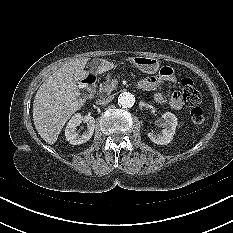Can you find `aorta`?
Returning a JSON list of instances; mask_svg holds the SVG:
<instances>
[{
  "instance_id": "aorta-1",
  "label": "aorta",
  "mask_w": 233,
  "mask_h": 233,
  "mask_svg": "<svg viewBox=\"0 0 233 233\" xmlns=\"http://www.w3.org/2000/svg\"><path fill=\"white\" fill-rule=\"evenodd\" d=\"M135 101L136 98L131 92H122L118 97V104L123 108H131Z\"/></svg>"
}]
</instances>
